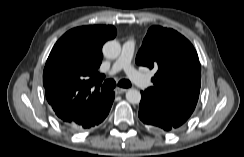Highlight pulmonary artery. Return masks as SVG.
<instances>
[{"instance_id":"1","label":"pulmonary artery","mask_w":244,"mask_h":157,"mask_svg":"<svg viewBox=\"0 0 244 157\" xmlns=\"http://www.w3.org/2000/svg\"><path fill=\"white\" fill-rule=\"evenodd\" d=\"M135 50V41L130 39L123 43L122 52L119 58L113 64L108 75H113L120 70H124L127 76L139 87L145 88L149 86V79L138 72L132 65V57Z\"/></svg>"}]
</instances>
